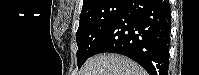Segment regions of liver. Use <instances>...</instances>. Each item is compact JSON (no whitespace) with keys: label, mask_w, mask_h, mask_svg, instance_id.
I'll list each match as a JSON object with an SVG mask.
<instances>
[{"label":"liver","mask_w":199,"mask_h":75,"mask_svg":"<svg viewBox=\"0 0 199 75\" xmlns=\"http://www.w3.org/2000/svg\"><path fill=\"white\" fill-rule=\"evenodd\" d=\"M79 75H147V73L125 56L104 53L87 60Z\"/></svg>","instance_id":"1"}]
</instances>
